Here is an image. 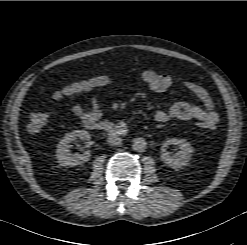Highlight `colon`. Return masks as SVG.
Returning a JSON list of instances; mask_svg holds the SVG:
<instances>
[{
    "mask_svg": "<svg viewBox=\"0 0 247 245\" xmlns=\"http://www.w3.org/2000/svg\"><path fill=\"white\" fill-rule=\"evenodd\" d=\"M111 83L112 78L109 74L104 72L94 74L64 85L55 91L54 98L61 99L90 92L96 89L106 88L111 85ZM46 121L47 114L45 111H34L30 114L28 130L32 133H37L44 127ZM195 125L205 131H213L216 128L215 125L203 121H198Z\"/></svg>",
    "mask_w": 247,
    "mask_h": 245,
    "instance_id": "1",
    "label": "colon"
}]
</instances>
